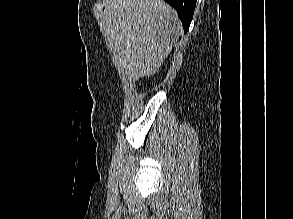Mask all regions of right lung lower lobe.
I'll list each match as a JSON object with an SVG mask.
<instances>
[{
    "instance_id": "right-lung-lower-lobe-1",
    "label": "right lung lower lobe",
    "mask_w": 293,
    "mask_h": 219,
    "mask_svg": "<svg viewBox=\"0 0 293 219\" xmlns=\"http://www.w3.org/2000/svg\"><path fill=\"white\" fill-rule=\"evenodd\" d=\"M173 6L183 24L184 31L187 32L193 18V13L197 0H165Z\"/></svg>"
}]
</instances>
